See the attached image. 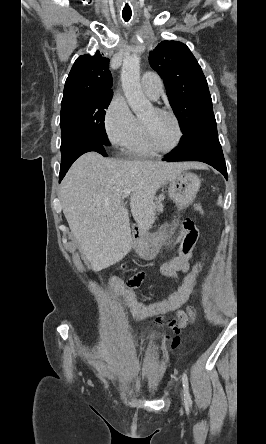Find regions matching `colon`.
<instances>
[{"label":"colon","instance_id":"1","mask_svg":"<svg viewBox=\"0 0 266 444\" xmlns=\"http://www.w3.org/2000/svg\"><path fill=\"white\" fill-rule=\"evenodd\" d=\"M194 208L203 213L200 205L195 204ZM206 255L195 264L186 276L180 280L178 289L162 301L154 303H144L135 295L134 288L130 280L126 281L122 287L124 302L130 309L134 318L137 319H161V317L171 311L178 309L185 303L195 289V286L203 272Z\"/></svg>","mask_w":266,"mask_h":444}]
</instances>
